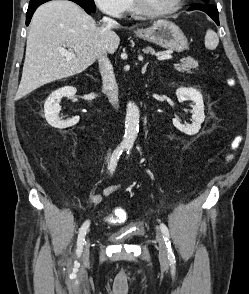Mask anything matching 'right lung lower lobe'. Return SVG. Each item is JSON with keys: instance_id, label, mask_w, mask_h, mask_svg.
<instances>
[{"instance_id": "obj_1", "label": "right lung lower lobe", "mask_w": 249, "mask_h": 294, "mask_svg": "<svg viewBox=\"0 0 249 294\" xmlns=\"http://www.w3.org/2000/svg\"><path fill=\"white\" fill-rule=\"evenodd\" d=\"M50 1V0H42L40 2H36V3H32L29 5L28 10H27V14H26V25L28 26L30 23V20L32 18L33 13L35 12V10L38 8V6H40L41 4ZM75 3H77L78 5H80L76 0H71ZM81 6V5H80ZM82 7V6H81ZM88 14H91L93 12H91L89 9L82 7Z\"/></svg>"}]
</instances>
